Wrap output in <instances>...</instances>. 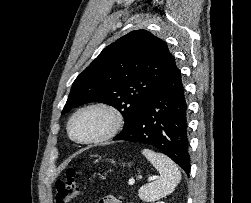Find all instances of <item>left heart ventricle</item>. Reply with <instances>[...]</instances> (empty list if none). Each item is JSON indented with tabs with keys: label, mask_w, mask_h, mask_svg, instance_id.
<instances>
[{
	"label": "left heart ventricle",
	"mask_w": 251,
	"mask_h": 203,
	"mask_svg": "<svg viewBox=\"0 0 251 203\" xmlns=\"http://www.w3.org/2000/svg\"><path fill=\"white\" fill-rule=\"evenodd\" d=\"M108 123L109 119L103 112L86 111L74 119L72 131L78 139H89L103 132Z\"/></svg>",
	"instance_id": "left-heart-ventricle-1"
}]
</instances>
